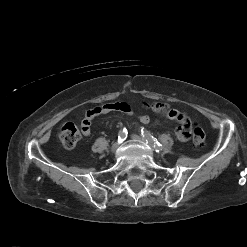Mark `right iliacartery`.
<instances>
[{
    "label": "right iliac artery",
    "instance_id": "1",
    "mask_svg": "<svg viewBox=\"0 0 247 247\" xmlns=\"http://www.w3.org/2000/svg\"><path fill=\"white\" fill-rule=\"evenodd\" d=\"M127 130L125 128L121 129L118 134V142H123L127 138Z\"/></svg>",
    "mask_w": 247,
    "mask_h": 247
}]
</instances>
